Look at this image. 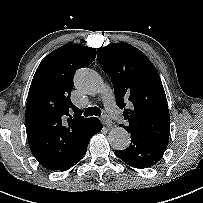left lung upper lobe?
Here are the masks:
<instances>
[{
    "mask_svg": "<svg viewBox=\"0 0 203 203\" xmlns=\"http://www.w3.org/2000/svg\"><path fill=\"white\" fill-rule=\"evenodd\" d=\"M98 61L111 77L116 103L125 108L129 133L168 145L170 115L160 76L152 62L127 43L110 44L97 51Z\"/></svg>",
    "mask_w": 203,
    "mask_h": 203,
    "instance_id": "obj_1",
    "label": "left lung upper lobe"
}]
</instances>
